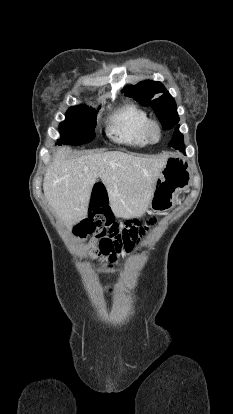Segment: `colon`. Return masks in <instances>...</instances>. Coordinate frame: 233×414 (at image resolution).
<instances>
[{
	"label": "colon",
	"instance_id": "obj_1",
	"mask_svg": "<svg viewBox=\"0 0 233 414\" xmlns=\"http://www.w3.org/2000/svg\"><path fill=\"white\" fill-rule=\"evenodd\" d=\"M138 219H131L124 224H118L113 220L110 210L107 212H89L78 227L81 235L93 233L97 243L88 248L91 257L105 256L106 252L129 251L138 239Z\"/></svg>",
	"mask_w": 233,
	"mask_h": 414
}]
</instances>
